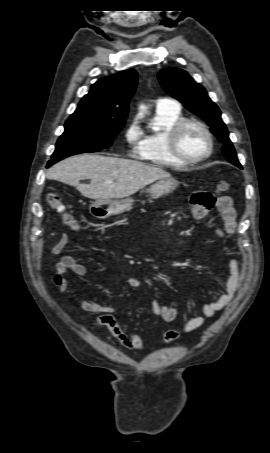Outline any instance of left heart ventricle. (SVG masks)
<instances>
[{
	"mask_svg": "<svg viewBox=\"0 0 270 453\" xmlns=\"http://www.w3.org/2000/svg\"><path fill=\"white\" fill-rule=\"evenodd\" d=\"M208 141L205 134L197 126H187L179 138L181 153L190 158H197L206 153Z\"/></svg>",
	"mask_w": 270,
	"mask_h": 453,
	"instance_id": "left-heart-ventricle-1",
	"label": "left heart ventricle"
}]
</instances>
